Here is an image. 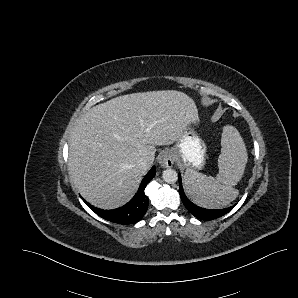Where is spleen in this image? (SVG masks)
Masks as SVG:
<instances>
[{
  "label": "spleen",
  "instance_id": "obj_1",
  "mask_svg": "<svg viewBox=\"0 0 298 298\" xmlns=\"http://www.w3.org/2000/svg\"><path fill=\"white\" fill-rule=\"evenodd\" d=\"M219 171L215 178L187 169L185 190L192 201L206 209H222L239 196L235 187L242 180L249 160L246 143L232 124H225L221 135Z\"/></svg>",
  "mask_w": 298,
  "mask_h": 298
}]
</instances>
